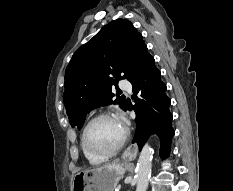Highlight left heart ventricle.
I'll list each match as a JSON object with an SVG mask.
<instances>
[{
    "label": "left heart ventricle",
    "instance_id": "b2bd125f",
    "mask_svg": "<svg viewBox=\"0 0 233 191\" xmlns=\"http://www.w3.org/2000/svg\"><path fill=\"white\" fill-rule=\"evenodd\" d=\"M124 127L120 121L100 119L96 121L88 132V145L96 152H106L121 140Z\"/></svg>",
    "mask_w": 233,
    "mask_h": 191
}]
</instances>
